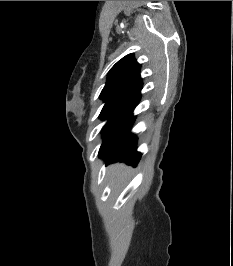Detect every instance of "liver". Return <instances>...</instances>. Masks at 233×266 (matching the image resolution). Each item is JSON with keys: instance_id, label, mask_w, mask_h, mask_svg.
<instances>
[{"instance_id": "6515ba94", "label": "liver", "mask_w": 233, "mask_h": 266, "mask_svg": "<svg viewBox=\"0 0 233 266\" xmlns=\"http://www.w3.org/2000/svg\"><path fill=\"white\" fill-rule=\"evenodd\" d=\"M115 168V175H116V180L117 182H120L123 177L127 174L128 168L125 167L124 165H115L113 166Z\"/></svg>"}]
</instances>
